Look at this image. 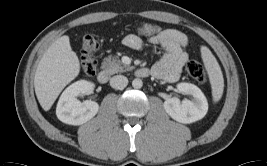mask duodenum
I'll return each instance as SVG.
<instances>
[{
    "mask_svg": "<svg viewBox=\"0 0 267 166\" xmlns=\"http://www.w3.org/2000/svg\"><path fill=\"white\" fill-rule=\"evenodd\" d=\"M148 74H149V71L146 68H139V69H137L135 71V75L137 77H146V76H148ZM97 80L101 84L107 83L108 80H109V73H108V71L107 70H101V71H99L98 74H97Z\"/></svg>",
    "mask_w": 267,
    "mask_h": 166,
    "instance_id": "obj_1",
    "label": "duodenum"
}]
</instances>
